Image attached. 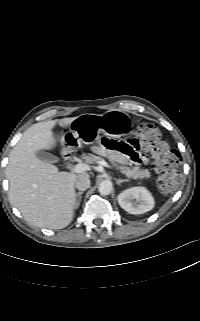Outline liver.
Returning a JSON list of instances; mask_svg holds the SVG:
<instances>
[{
  "label": "liver",
  "instance_id": "liver-1",
  "mask_svg": "<svg viewBox=\"0 0 200 321\" xmlns=\"http://www.w3.org/2000/svg\"><path fill=\"white\" fill-rule=\"evenodd\" d=\"M75 118L33 124L10 152L6 167L9 200L34 226L62 229L73 219L75 182L79 176L88 174L58 172L55 165L40 160L36 153L54 146L52 129L56 124L67 127Z\"/></svg>",
  "mask_w": 200,
  "mask_h": 321
}]
</instances>
